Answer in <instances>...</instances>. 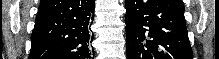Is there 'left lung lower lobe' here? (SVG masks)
<instances>
[{
  "mask_svg": "<svg viewBox=\"0 0 219 59\" xmlns=\"http://www.w3.org/2000/svg\"><path fill=\"white\" fill-rule=\"evenodd\" d=\"M127 59H192L182 0H126Z\"/></svg>",
  "mask_w": 219,
  "mask_h": 59,
  "instance_id": "0a47b994",
  "label": "left lung lower lobe"
}]
</instances>
